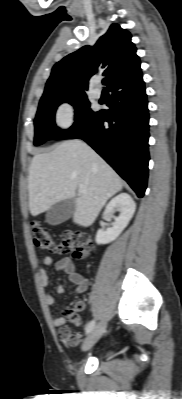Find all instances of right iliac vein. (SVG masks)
I'll use <instances>...</instances> for the list:
<instances>
[{
  "label": "right iliac vein",
  "mask_w": 182,
  "mask_h": 399,
  "mask_svg": "<svg viewBox=\"0 0 182 399\" xmlns=\"http://www.w3.org/2000/svg\"><path fill=\"white\" fill-rule=\"evenodd\" d=\"M106 328V323L101 322L98 325H96L93 330L90 332V334L87 336L85 341L83 342L82 345V350L87 351L89 350L102 336L103 332L105 331Z\"/></svg>",
  "instance_id": "obj_1"
}]
</instances>
